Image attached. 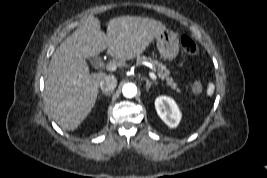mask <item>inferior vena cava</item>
Wrapping results in <instances>:
<instances>
[{
	"label": "inferior vena cava",
	"instance_id": "obj_1",
	"mask_svg": "<svg viewBox=\"0 0 267 178\" xmlns=\"http://www.w3.org/2000/svg\"><path fill=\"white\" fill-rule=\"evenodd\" d=\"M99 86L103 92H112L117 86V79L113 75H107L100 81Z\"/></svg>",
	"mask_w": 267,
	"mask_h": 178
}]
</instances>
